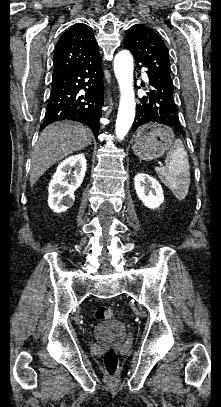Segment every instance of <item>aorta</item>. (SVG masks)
Segmentation results:
<instances>
[{
  "instance_id": "aorta-1",
  "label": "aorta",
  "mask_w": 221,
  "mask_h": 407,
  "mask_svg": "<svg viewBox=\"0 0 221 407\" xmlns=\"http://www.w3.org/2000/svg\"><path fill=\"white\" fill-rule=\"evenodd\" d=\"M114 71L120 88V103L115 133L122 140L130 130L135 117L133 90V57L129 51H120L114 58Z\"/></svg>"
}]
</instances>
